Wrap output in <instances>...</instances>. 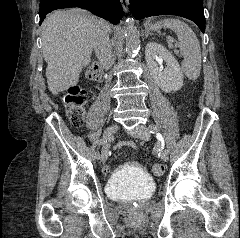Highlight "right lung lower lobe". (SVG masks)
Returning <instances> with one entry per match:
<instances>
[{
	"instance_id": "1",
	"label": "right lung lower lobe",
	"mask_w": 240,
	"mask_h": 238,
	"mask_svg": "<svg viewBox=\"0 0 240 238\" xmlns=\"http://www.w3.org/2000/svg\"><path fill=\"white\" fill-rule=\"evenodd\" d=\"M68 7L89 10L113 24H117L123 17L120 0H41L39 9L40 24L51 11Z\"/></svg>"
}]
</instances>
